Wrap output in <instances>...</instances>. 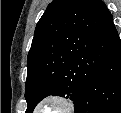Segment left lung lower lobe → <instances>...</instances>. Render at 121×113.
Returning <instances> with one entry per match:
<instances>
[{
	"label": "left lung lower lobe",
	"instance_id": "obj_1",
	"mask_svg": "<svg viewBox=\"0 0 121 113\" xmlns=\"http://www.w3.org/2000/svg\"><path fill=\"white\" fill-rule=\"evenodd\" d=\"M76 113H121V41L87 82L75 103Z\"/></svg>",
	"mask_w": 121,
	"mask_h": 113
}]
</instances>
